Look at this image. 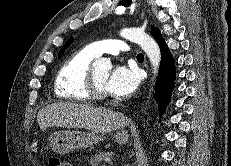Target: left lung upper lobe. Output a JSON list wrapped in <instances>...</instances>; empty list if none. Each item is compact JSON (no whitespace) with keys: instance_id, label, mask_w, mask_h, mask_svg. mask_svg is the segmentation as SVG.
Here are the masks:
<instances>
[{"instance_id":"left-lung-upper-lobe-1","label":"left lung upper lobe","mask_w":231,"mask_h":166,"mask_svg":"<svg viewBox=\"0 0 231 166\" xmlns=\"http://www.w3.org/2000/svg\"><path fill=\"white\" fill-rule=\"evenodd\" d=\"M160 33L158 28H154V26L151 27V34L155 38ZM74 37H70L67 42L63 45L61 50L59 51L58 57H60L64 51L73 43Z\"/></svg>"}]
</instances>
